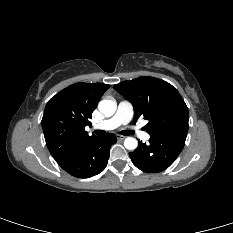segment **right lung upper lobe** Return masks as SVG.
Listing matches in <instances>:
<instances>
[{
    "instance_id": "cb5924a9",
    "label": "right lung upper lobe",
    "mask_w": 233,
    "mask_h": 233,
    "mask_svg": "<svg viewBox=\"0 0 233 233\" xmlns=\"http://www.w3.org/2000/svg\"><path fill=\"white\" fill-rule=\"evenodd\" d=\"M108 88L103 83H76L48 101L41 124L48 149L59 165L96 138L88 135L85 126Z\"/></svg>"
}]
</instances>
